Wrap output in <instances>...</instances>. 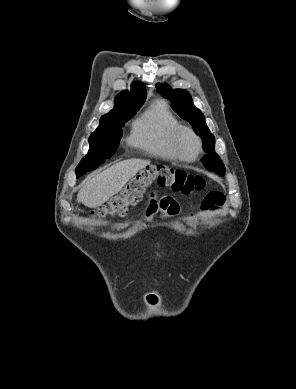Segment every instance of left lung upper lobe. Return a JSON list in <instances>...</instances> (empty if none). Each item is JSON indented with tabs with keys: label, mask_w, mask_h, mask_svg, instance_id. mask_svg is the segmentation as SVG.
<instances>
[{
	"label": "left lung upper lobe",
	"mask_w": 296,
	"mask_h": 389,
	"mask_svg": "<svg viewBox=\"0 0 296 389\" xmlns=\"http://www.w3.org/2000/svg\"><path fill=\"white\" fill-rule=\"evenodd\" d=\"M157 91L168 98L174 105L173 109L179 116L187 120L195 133L203 140V149L209 155L202 158L204 166L219 174L224 175L225 166L215 152V138L205 123V117L201 111L193 105L191 95L184 89H171L166 84H157Z\"/></svg>",
	"instance_id": "left-lung-upper-lobe-1"
}]
</instances>
